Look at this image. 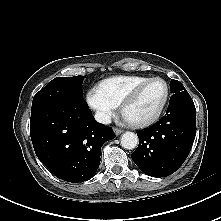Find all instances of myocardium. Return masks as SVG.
I'll list each match as a JSON object with an SVG mask.
<instances>
[{
	"label": "myocardium",
	"mask_w": 221,
	"mask_h": 221,
	"mask_svg": "<svg viewBox=\"0 0 221 221\" xmlns=\"http://www.w3.org/2000/svg\"><path fill=\"white\" fill-rule=\"evenodd\" d=\"M154 82H161L164 87H165V96L164 99L161 103V105L159 106V108L157 109V111L150 117L143 119V120H132L131 122L136 125L137 127H148L151 126L153 124H155L162 116L166 105L168 103L169 100V96H170V88L168 83L159 77H155V78H150L146 81H144L143 83L139 84L136 88H134L127 96L126 98L123 100L122 104H121V109L124 115H126L127 109L129 108L130 105H132L139 97L140 93L142 92V90L147 87L149 84L154 83Z\"/></svg>",
	"instance_id": "obj_1"
}]
</instances>
